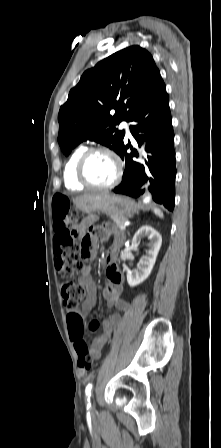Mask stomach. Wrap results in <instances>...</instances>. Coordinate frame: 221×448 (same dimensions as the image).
<instances>
[{"label": "stomach", "mask_w": 221, "mask_h": 448, "mask_svg": "<svg viewBox=\"0 0 221 448\" xmlns=\"http://www.w3.org/2000/svg\"><path fill=\"white\" fill-rule=\"evenodd\" d=\"M75 204L78 209L87 214L102 212L111 216L127 217L137 212V205L132 199L113 195L107 191L79 199Z\"/></svg>", "instance_id": "1"}]
</instances>
